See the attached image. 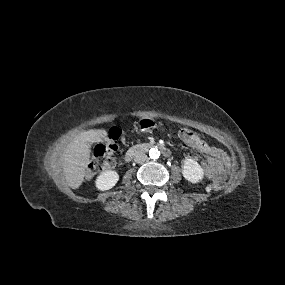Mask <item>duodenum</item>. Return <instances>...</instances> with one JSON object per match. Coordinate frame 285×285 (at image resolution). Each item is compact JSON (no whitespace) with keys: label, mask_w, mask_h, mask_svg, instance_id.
I'll return each mask as SVG.
<instances>
[{"label":"duodenum","mask_w":285,"mask_h":285,"mask_svg":"<svg viewBox=\"0 0 285 285\" xmlns=\"http://www.w3.org/2000/svg\"><path fill=\"white\" fill-rule=\"evenodd\" d=\"M151 147H156L158 148L165 157H169L170 156V150L164 146V145H160V144H148V143H141V144H137L132 146L131 148H129L125 155H124V160L125 161H130L135 155L145 152L148 149H150Z\"/></svg>","instance_id":"410a0bca"}]
</instances>
